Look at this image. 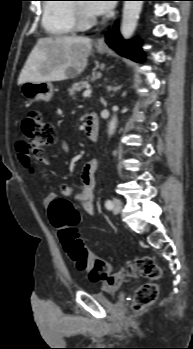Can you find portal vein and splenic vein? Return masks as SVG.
<instances>
[{"label":"portal vein and splenic vein","instance_id":"1","mask_svg":"<svg viewBox=\"0 0 193 349\" xmlns=\"http://www.w3.org/2000/svg\"><path fill=\"white\" fill-rule=\"evenodd\" d=\"M91 92H92V90L90 88H88L83 92V96L88 97V96H90Z\"/></svg>","mask_w":193,"mask_h":349}]
</instances>
